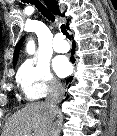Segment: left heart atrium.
<instances>
[{"label": "left heart atrium", "mask_w": 117, "mask_h": 136, "mask_svg": "<svg viewBox=\"0 0 117 136\" xmlns=\"http://www.w3.org/2000/svg\"><path fill=\"white\" fill-rule=\"evenodd\" d=\"M54 69L59 76L63 77L69 73L70 65L65 58H57L54 62Z\"/></svg>", "instance_id": "1"}]
</instances>
